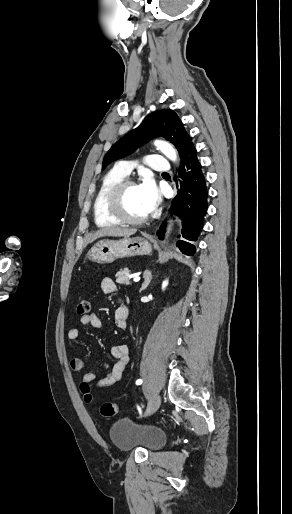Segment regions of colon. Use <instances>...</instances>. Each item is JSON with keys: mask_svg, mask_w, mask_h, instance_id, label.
<instances>
[{"mask_svg": "<svg viewBox=\"0 0 292 514\" xmlns=\"http://www.w3.org/2000/svg\"><path fill=\"white\" fill-rule=\"evenodd\" d=\"M91 309V302L87 299H82L77 303V314L78 315H86L90 312ZM90 387L88 383L82 384V386L79 387V394L80 395H87ZM92 399V397L89 398V401ZM118 405L114 402H105L100 405V414L103 417H113L117 415L118 413Z\"/></svg>", "mask_w": 292, "mask_h": 514, "instance_id": "1", "label": "colon"}]
</instances>
